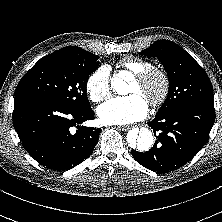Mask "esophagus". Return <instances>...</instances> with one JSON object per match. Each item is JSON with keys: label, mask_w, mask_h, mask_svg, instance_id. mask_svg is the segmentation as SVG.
Here are the masks:
<instances>
[{"label": "esophagus", "mask_w": 222, "mask_h": 222, "mask_svg": "<svg viewBox=\"0 0 222 222\" xmlns=\"http://www.w3.org/2000/svg\"><path fill=\"white\" fill-rule=\"evenodd\" d=\"M118 129L119 130H122V131H127V130H129V126H118Z\"/></svg>", "instance_id": "1"}]
</instances>
